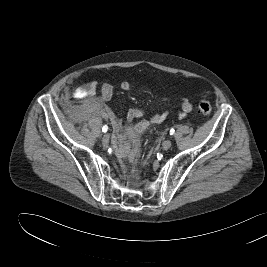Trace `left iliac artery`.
I'll list each match as a JSON object with an SVG mask.
<instances>
[{"label": "left iliac artery", "instance_id": "left-iliac-artery-1", "mask_svg": "<svg viewBox=\"0 0 267 267\" xmlns=\"http://www.w3.org/2000/svg\"><path fill=\"white\" fill-rule=\"evenodd\" d=\"M175 133V130L174 129H171L170 130V135H173Z\"/></svg>", "mask_w": 267, "mask_h": 267}]
</instances>
